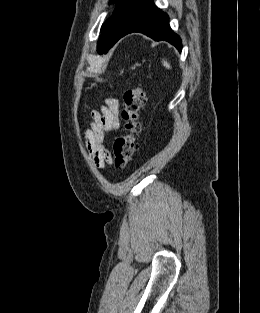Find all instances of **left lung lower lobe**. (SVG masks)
Segmentation results:
<instances>
[{
  "label": "left lung lower lobe",
  "instance_id": "1",
  "mask_svg": "<svg viewBox=\"0 0 260 313\" xmlns=\"http://www.w3.org/2000/svg\"><path fill=\"white\" fill-rule=\"evenodd\" d=\"M133 32L143 33L155 41H167L179 51L182 50L180 37L169 26L168 15L157 8L154 3L140 14L121 37Z\"/></svg>",
  "mask_w": 260,
  "mask_h": 313
}]
</instances>
